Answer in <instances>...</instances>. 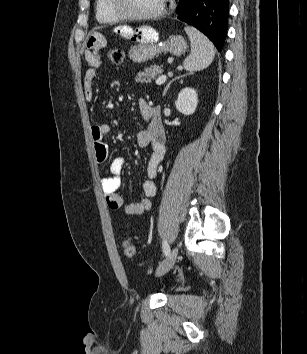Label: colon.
<instances>
[{"label":"colon","instance_id":"1","mask_svg":"<svg viewBox=\"0 0 307 354\" xmlns=\"http://www.w3.org/2000/svg\"><path fill=\"white\" fill-rule=\"evenodd\" d=\"M107 56L110 61L119 64L124 59V52L121 49L112 48L108 51ZM122 251L125 258L135 259L137 257V249L129 239L122 241Z\"/></svg>","mask_w":307,"mask_h":354}]
</instances>
